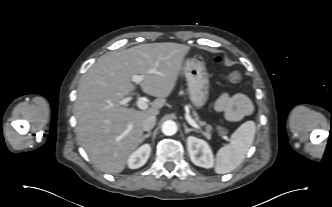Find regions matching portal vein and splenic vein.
<instances>
[{
  "mask_svg": "<svg viewBox=\"0 0 332 207\" xmlns=\"http://www.w3.org/2000/svg\"><path fill=\"white\" fill-rule=\"evenodd\" d=\"M151 73H152V71H151ZM144 77H145L144 75H133L131 78V81L136 84H140L142 82V80L144 79ZM132 99L133 98L131 96H128V97L122 99L121 101H119V105L124 106L127 103H129ZM136 103H137L138 108H140L142 110H145L148 108V104L142 98L138 99ZM186 120L192 127L199 129V130L201 129V127L189 115H186ZM130 129H131V127L128 128L126 133L129 132Z\"/></svg>",
  "mask_w": 332,
  "mask_h": 207,
  "instance_id": "1",
  "label": "portal vein and splenic vein"
}]
</instances>
